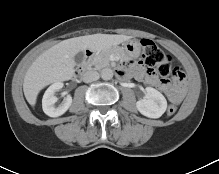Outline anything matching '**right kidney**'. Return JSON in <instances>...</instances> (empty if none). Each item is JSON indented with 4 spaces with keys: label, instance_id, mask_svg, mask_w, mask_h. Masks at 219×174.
<instances>
[{
    "label": "right kidney",
    "instance_id": "ca27d5eb",
    "mask_svg": "<svg viewBox=\"0 0 219 174\" xmlns=\"http://www.w3.org/2000/svg\"><path fill=\"white\" fill-rule=\"evenodd\" d=\"M62 87V82H55L45 91L43 95L42 108L44 113L50 117H58L63 115L71 106V96L64 98L63 102L58 107L55 106V103L58 100V98L55 96V92L59 91Z\"/></svg>",
    "mask_w": 219,
    "mask_h": 174
}]
</instances>
